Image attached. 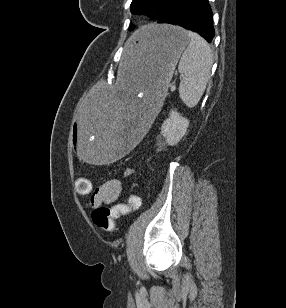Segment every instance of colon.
I'll list each match as a JSON object with an SVG mask.
<instances>
[{
  "label": "colon",
  "instance_id": "5ec220e1",
  "mask_svg": "<svg viewBox=\"0 0 286 308\" xmlns=\"http://www.w3.org/2000/svg\"><path fill=\"white\" fill-rule=\"evenodd\" d=\"M75 189L78 193L86 195L91 191V183L88 179L80 178L75 182ZM141 205L140 198L135 195H129L127 202L117 204L112 207L99 206L92 212L93 223L106 232H112L115 229V220L119 217L136 211Z\"/></svg>",
  "mask_w": 286,
  "mask_h": 308
}]
</instances>
